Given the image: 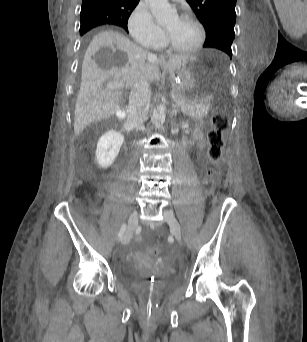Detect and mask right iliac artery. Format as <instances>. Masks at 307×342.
Listing matches in <instances>:
<instances>
[{"label": "right iliac artery", "instance_id": "right-iliac-artery-1", "mask_svg": "<svg viewBox=\"0 0 307 342\" xmlns=\"http://www.w3.org/2000/svg\"><path fill=\"white\" fill-rule=\"evenodd\" d=\"M126 224H123L122 226H121V228H120V231H119V233H118V239L119 240H122L123 239V237H124V234H125V231H126Z\"/></svg>", "mask_w": 307, "mask_h": 342}]
</instances>
